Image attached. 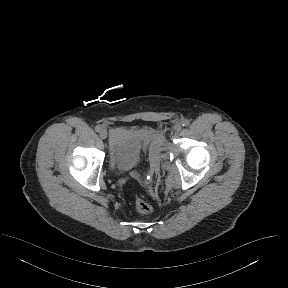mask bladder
<instances>
[{
	"label": "bladder",
	"instance_id": "bladder-1",
	"mask_svg": "<svg viewBox=\"0 0 288 288\" xmlns=\"http://www.w3.org/2000/svg\"><path fill=\"white\" fill-rule=\"evenodd\" d=\"M108 151L110 165L122 172L136 168L142 157L157 154L151 133L131 127H117L110 131Z\"/></svg>",
	"mask_w": 288,
	"mask_h": 288
}]
</instances>
